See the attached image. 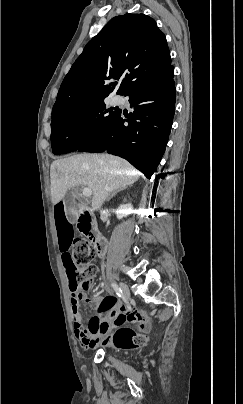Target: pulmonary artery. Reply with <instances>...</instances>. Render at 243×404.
<instances>
[{
  "instance_id": "pulmonary-artery-1",
  "label": "pulmonary artery",
  "mask_w": 243,
  "mask_h": 404,
  "mask_svg": "<svg viewBox=\"0 0 243 404\" xmlns=\"http://www.w3.org/2000/svg\"><path fill=\"white\" fill-rule=\"evenodd\" d=\"M122 100H123V98H122L120 95H116V96L114 97V101H115V103H117V104L121 103Z\"/></svg>"
}]
</instances>
